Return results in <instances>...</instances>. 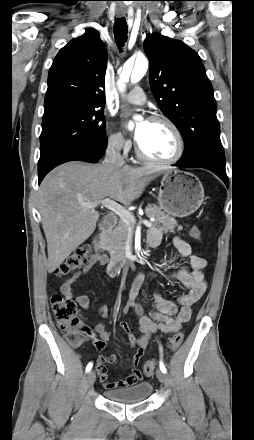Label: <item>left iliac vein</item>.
<instances>
[{
	"label": "left iliac vein",
	"instance_id": "1",
	"mask_svg": "<svg viewBox=\"0 0 254 440\" xmlns=\"http://www.w3.org/2000/svg\"><path fill=\"white\" fill-rule=\"evenodd\" d=\"M156 377L158 378V380H159L160 382L165 383V381H166V376H165V374H164L160 369H157V370H156Z\"/></svg>",
	"mask_w": 254,
	"mask_h": 440
}]
</instances>
